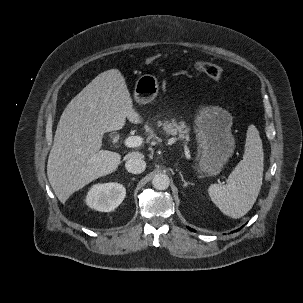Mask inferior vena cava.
Wrapping results in <instances>:
<instances>
[{
	"label": "inferior vena cava",
	"mask_w": 303,
	"mask_h": 303,
	"mask_svg": "<svg viewBox=\"0 0 303 303\" xmlns=\"http://www.w3.org/2000/svg\"><path fill=\"white\" fill-rule=\"evenodd\" d=\"M125 168L132 174H139L145 170L146 162L141 157L130 158L126 161Z\"/></svg>",
	"instance_id": "obj_1"
}]
</instances>
